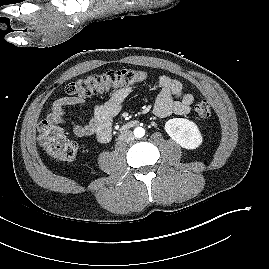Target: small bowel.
<instances>
[{
    "instance_id": "1",
    "label": "small bowel",
    "mask_w": 269,
    "mask_h": 269,
    "mask_svg": "<svg viewBox=\"0 0 269 269\" xmlns=\"http://www.w3.org/2000/svg\"><path fill=\"white\" fill-rule=\"evenodd\" d=\"M160 92L153 107V113L160 118L170 115H186L190 112L194 97L184 92L183 84L170 76L158 78ZM132 93V87L123 86L115 90L102 104L95 106L91 119L84 124H71V130L78 137L95 135L100 142H108L111 137L113 117L118 115L126 99ZM84 100L78 97H61L52 104L47 119L57 125L66 123L65 109L82 105Z\"/></svg>"
}]
</instances>
